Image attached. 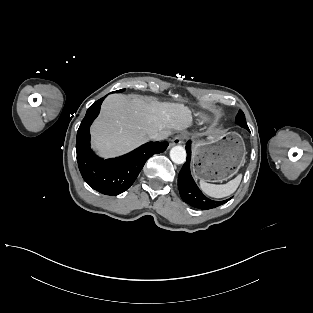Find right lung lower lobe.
<instances>
[{
	"mask_svg": "<svg viewBox=\"0 0 313 313\" xmlns=\"http://www.w3.org/2000/svg\"><path fill=\"white\" fill-rule=\"evenodd\" d=\"M105 97L87 110L80 124L76 140L77 161L83 179L93 189L105 195L116 196L133 184L152 155L166 150L168 142H148L126 155L113 159L104 160L96 156L90 148L89 127L98 116Z\"/></svg>",
	"mask_w": 313,
	"mask_h": 313,
	"instance_id": "right-lung-lower-lobe-1",
	"label": "right lung lower lobe"
}]
</instances>
